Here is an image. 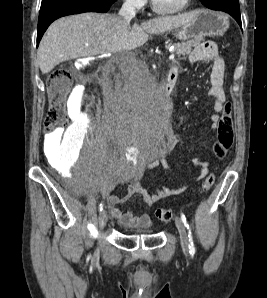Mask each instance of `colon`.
<instances>
[{
    "label": "colon",
    "instance_id": "1",
    "mask_svg": "<svg viewBox=\"0 0 267 298\" xmlns=\"http://www.w3.org/2000/svg\"><path fill=\"white\" fill-rule=\"evenodd\" d=\"M50 105L45 118V128L49 133L67 126L66 98L71 88V73L68 69H58L52 72L47 81ZM234 141L233 120L227 108L222 114L214 145L215 154L219 159L226 156ZM215 175L209 174L202 183V191H208L214 184ZM156 216L163 222L173 218L170 210L159 208Z\"/></svg>",
    "mask_w": 267,
    "mask_h": 298
}]
</instances>
